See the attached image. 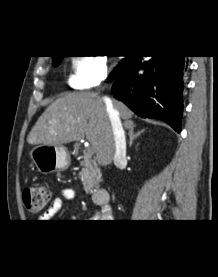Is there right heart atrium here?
Wrapping results in <instances>:
<instances>
[{
	"mask_svg": "<svg viewBox=\"0 0 218 277\" xmlns=\"http://www.w3.org/2000/svg\"><path fill=\"white\" fill-rule=\"evenodd\" d=\"M107 76V60L103 55L86 54L74 58L68 78L70 87L77 90L99 86Z\"/></svg>",
	"mask_w": 218,
	"mask_h": 277,
	"instance_id": "right-heart-atrium-1",
	"label": "right heart atrium"
}]
</instances>
